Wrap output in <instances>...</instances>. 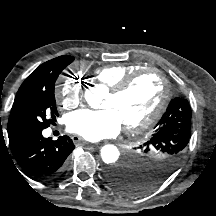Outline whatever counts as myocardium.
I'll list each match as a JSON object with an SVG mask.
<instances>
[{"label":"myocardium","mask_w":216,"mask_h":216,"mask_svg":"<svg viewBox=\"0 0 216 216\" xmlns=\"http://www.w3.org/2000/svg\"><path fill=\"white\" fill-rule=\"evenodd\" d=\"M148 72H153L159 76L162 84V94L159 98L157 105L144 120L133 125L124 124L125 131L130 134L144 131L150 128L158 120V118L164 111L170 97L169 81L160 69L155 67H147L130 73L120 82H118L115 86L110 88V95L115 97L120 96L121 94L126 92L140 76Z\"/></svg>","instance_id":"obj_1"}]
</instances>
